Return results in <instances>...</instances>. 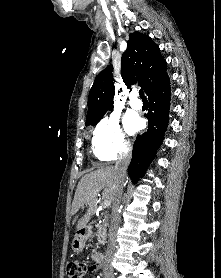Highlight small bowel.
<instances>
[{
	"mask_svg": "<svg viewBox=\"0 0 221 278\" xmlns=\"http://www.w3.org/2000/svg\"><path fill=\"white\" fill-rule=\"evenodd\" d=\"M95 271H96L95 267H94V266H91L90 273H94Z\"/></svg>",
	"mask_w": 221,
	"mask_h": 278,
	"instance_id": "c3829d8e",
	"label": "small bowel"
}]
</instances>
